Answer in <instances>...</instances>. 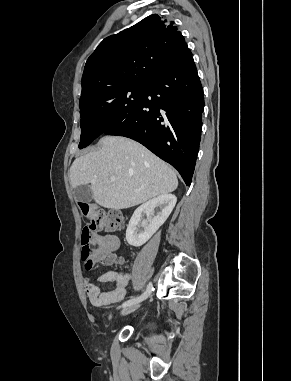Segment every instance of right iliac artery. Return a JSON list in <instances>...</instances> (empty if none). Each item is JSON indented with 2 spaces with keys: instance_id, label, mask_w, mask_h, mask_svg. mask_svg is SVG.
I'll return each mask as SVG.
<instances>
[{
  "instance_id": "82829eb1",
  "label": "right iliac artery",
  "mask_w": 291,
  "mask_h": 381,
  "mask_svg": "<svg viewBox=\"0 0 291 381\" xmlns=\"http://www.w3.org/2000/svg\"><path fill=\"white\" fill-rule=\"evenodd\" d=\"M152 290H153L152 283H149V285H148L146 291H145L143 294H141V295L138 296V297L132 298V299H130V300L124 302V303L122 304V307H126V306H129V305H131V304H134V303H138V302L143 301L144 299H146V298L150 295V293H151Z\"/></svg>"
}]
</instances>
